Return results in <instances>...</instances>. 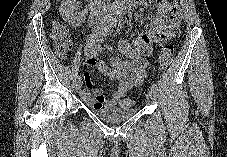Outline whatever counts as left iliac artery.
I'll return each instance as SVG.
<instances>
[{"mask_svg":"<svg viewBox=\"0 0 227 157\" xmlns=\"http://www.w3.org/2000/svg\"><path fill=\"white\" fill-rule=\"evenodd\" d=\"M151 88L157 90V89H158L157 84H156V83H152V84H151Z\"/></svg>","mask_w":227,"mask_h":157,"instance_id":"left-iliac-artery-1","label":"left iliac artery"}]
</instances>
